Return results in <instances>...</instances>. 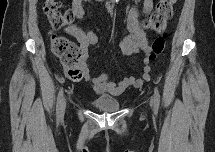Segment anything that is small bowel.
Returning <instances> with one entry per match:
<instances>
[{"label":"small bowel","mask_w":215,"mask_h":152,"mask_svg":"<svg viewBox=\"0 0 215 152\" xmlns=\"http://www.w3.org/2000/svg\"><path fill=\"white\" fill-rule=\"evenodd\" d=\"M85 3V0H74L72 3V11L78 19H82L84 16ZM153 7V0H143L142 9L146 15L151 13ZM138 16V8L132 6L127 13V29L129 34L121 40L119 45L120 56L122 58L138 53L148 54L150 51L149 39L140 27ZM66 32L76 38L79 42L84 58L82 78L93 84L97 94L120 95L130 87L138 88L143 86L144 83L150 79L149 67L143 72L141 78H137L136 75L132 74L121 80H115L110 73H102L98 77H93L86 66V59L88 58V49L98 44L99 37L94 31H84L75 24L67 26Z\"/></svg>","instance_id":"1"}]
</instances>
